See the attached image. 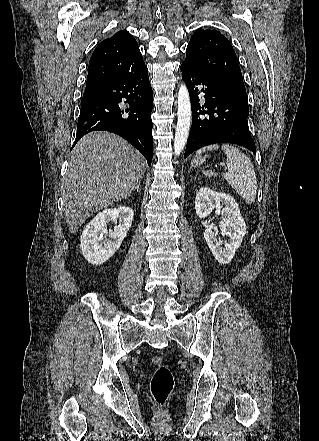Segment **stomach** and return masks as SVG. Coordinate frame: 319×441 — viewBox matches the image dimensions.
I'll list each match as a JSON object with an SVG mask.
<instances>
[{"instance_id":"obj_1","label":"stomach","mask_w":319,"mask_h":441,"mask_svg":"<svg viewBox=\"0 0 319 441\" xmlns=\"http://www.w3.org/2000/svg\"><path fill=\"white\" fill-rule=\"evenodd\" d=\"M204 161H205L204 158L199 157V156H195L191 164L194 167H197V166L201 165Z\"/></svg>"}]
</instances>
